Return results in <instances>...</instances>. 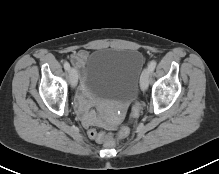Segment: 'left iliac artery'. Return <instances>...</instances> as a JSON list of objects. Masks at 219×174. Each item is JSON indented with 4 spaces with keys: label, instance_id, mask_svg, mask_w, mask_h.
I'll list each match as a JSON object with an SVG mask.
<instances>
[{
    "label": "left iliac artery",
    "instance_id": "obj_1",
    "mask_svg": "<svg viewBox=\"0 0 219 174\" xmlns=\"http://www.w3.org/2000/svg\"><path fill=\"white\" fill-rule=\"evenodd\" d=\"M156 61L155 60H152L149 65H148V69L150 72L154 71L155 67H156Z\"/></svg>",
    "mask_w": 219,
    "mask_h": 174
}]
</instances>
